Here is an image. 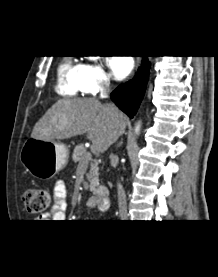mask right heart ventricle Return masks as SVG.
Here are the masks:
<instances>
[{
  "label": "right heart ventricle",
  "mask_w": 218,
  "mask_h": 277,
  "mask_svg": "<svg viewBox=\"0 0 218 277\" xmlns=\"http://www.w3.org/2000/svg\"><path fill=\"white\" fill-rule=\"evenodd\" d=\"M82 64L65 59L58 68L56 91L65 97H75L83 92L81 85Z\"/></svg>",
  "instance_id": "e07e8e85"
}]
</instances>
